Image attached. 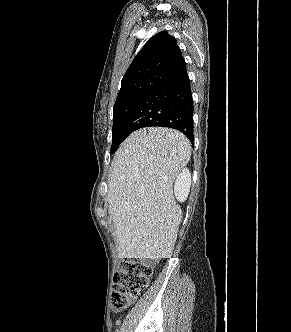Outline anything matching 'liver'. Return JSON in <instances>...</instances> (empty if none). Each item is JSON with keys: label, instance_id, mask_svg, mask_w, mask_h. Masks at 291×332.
Returning <instances> with one entry per match:
<instances>
[{"label": "liver", "instance_id": "1", "mask_svg": "<svg viewBox=\"0 0 291 332\" xmlns=\"http://www.w3.org/2000/svg\"><path fill=\"white\" fill-rule=\"evenodd\" d=\"M190 156L187 137L169 128H142L121 144L108 189L118 258L172 256L182 218L172 185Z\"/></svg>", "mask_w": 291, "mask_h": 332}]
</instances>
